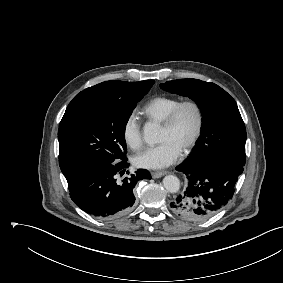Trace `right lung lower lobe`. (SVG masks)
I'll return each instance as SVG.
<instances>
[{
    "instance_id": "right-lung-lower-lobe-1",
    "label": "right lung lower lobe",
    "mask_w": 283,
    "mask_h": 283,
    "mask_svg": "<svg viewBox=\"0 0 283 283\" xmlns=\"http://www.w3.org/2000/svg\"><path fill=\"white\" fill-rule=\"evenodd\" d=\"M126 161L89 163L65 174L71 199L80 209L99 218L130 211L135 203L134 187L139 180L151 176L149 171L138 169L119 181L118 174L123 175L129 166Z\"/></svg>"
}]
</instances>
